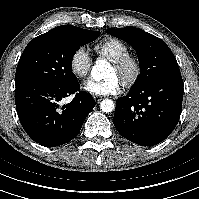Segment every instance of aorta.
Instances as JSON below:
<instances>
[{
  "mask_svg": "<svg viewBox=\"0 0 199 199\" xmlns=\"http://www.w3.org/2000/svg\"><path fill=\"white\" fill-rule=\"evenodd\" d=\"M108 67V62L104 59H98L92 69L93 77L100 80L104 76V71ZM114 102L110 99H105L100 103V109L103 112L109 113L114 110Z\"/></svg>",
  "mask_w": 199,
  "mask_h": 199,
  "instance_id": "aorta-1",
  "label": "aorta"
}]
</instances>
